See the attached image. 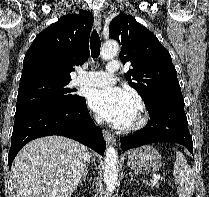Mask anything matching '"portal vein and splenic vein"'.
I'll return each mask as SVG.
<instances>
[{"label": "portal vein and splenic vein", "mask_w": 209, "mask_h": 197, "mask_svg": "<svg viewBox=\"0 0 209 197\" xmlns=\"http://www.w3.org/2000/svg\"><path fill=\"white\" fill-rule=\"evenodd\" d=\"M160 180V176L159 175H154V177L152 178L151 182L152 183H156Z\"/></svg>", "instance_id": "1"}]
</instances>
